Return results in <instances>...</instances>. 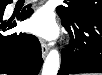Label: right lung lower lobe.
Masks as SVG:
<instances>
[{
	"instance_id": "right-lung-lower-lobe-1",
	"label": "right lung lower lobe",
	"mask_w": 102,
	"mask_h": 75,
	"mask_svg": "<svg viewBox=\"0 0 102 75\" xmlns=\"http://www.w3.org/2000/svg\"><path fill=\"white\" fill-rule=\"evenodd\" d=\"M0 3V32H6L16 26V22L4 21L3 14L7 4ZM33 13L30 5L23 8L17 19L23 21ZM43 64L41 45L38 39L25 33L3 35L0 33V73L8 75H37Z\"/></svg>"
}]
</instances>
